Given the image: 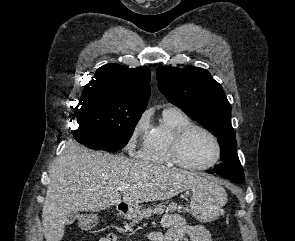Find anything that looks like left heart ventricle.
Masks as SVG:
<instances>
[{"instance_id":"obj_1","label":"left heart ventricle","mask_w":295,"mask_h":241,"mask_svg":"<svg viewBox=\"0 0 295 241\" xmlns=\"http://www.w3.org/2000/svg\"><path fill=\"white\" fill-rule=\"evenodd\" d=\"M182 156L189 164L207 165L216 156L215 143L205 132L193 130L183 142Z\"/></svg>"}]
</instances>
